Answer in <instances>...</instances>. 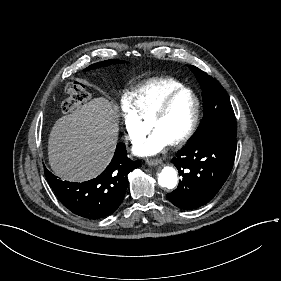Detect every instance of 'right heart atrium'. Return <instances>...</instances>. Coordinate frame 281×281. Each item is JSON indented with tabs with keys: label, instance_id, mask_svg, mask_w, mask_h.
I'll return each mask as SVG.
<instances>
[{
	"label": "right heart atrium",
	"instance_id": "obj_1",
	"mask_svg": "<svg viewBox=\"0 0 281 281\" xmlns=\"http://www.w3.org/2000/svg\"><path fill=\"white\" fill-rule=\"evenodd\" d=\"M121 122L126 141L136 145L143 139L146 134L145 126L139 121L135 111L125 100L121 103Z\"/></svg>",
	"mask_w": 281,
	"mask_h": 281
}]
</instances>
